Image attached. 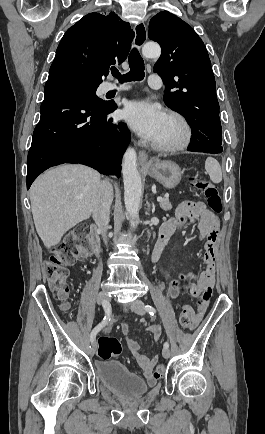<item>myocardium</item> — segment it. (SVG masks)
Wrapping results in <instances>:
<instances>
[{"mask_svg":"<svg viewBox=\"0 0 265 434\" xmlns=\"http://www.w3.org/2000/svg\"><path fill=\"white\" fill-rule=\"evenodd\" d=\"M167 120L177 125L179 129L177 139L169 145L153 144L152 147L158 153L175 154L189 146L192 138V128L187 118L177 111H170L167 115Z\"/></svg>","mask_w":265,"mask_h":434,"instance_id":"1","label":"myocardium"}]
</instances>
